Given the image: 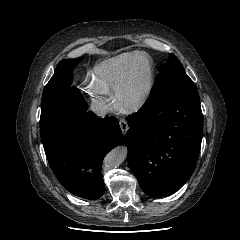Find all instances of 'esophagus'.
<instances>
[{"label": "esophagus", "instance_id": "1", "mask_svg": "<svg viewBox=\"0 0 240 240\" xmlns=\"http://www.w3.org/2000/svg\"><path fill=\"white\" fill-rule=\"evenodd\" d=\"M119 125H120V128H121L123 134H125L127 132V130L129 129L127 121L125 119H121L119 121Z\"/></svg>", "mask_w": 240, "mask_h": 240}]
</instances>
